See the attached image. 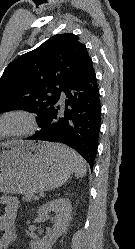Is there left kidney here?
<instances>
[{"mask_svg": "<svg viewBox=\"0 0 135 249\" xmlns=\"http://www.w3.org/2000/svg\"><path fill=\"white\" fill-rule=\"evenodd\" d=\"M55 212L52 229L41 240L31 241V249H52L56 240L66 233L71 219L72 206L67 198H58L47 202L38 210V216L50 219L49 214Z\"/></svg>", "mask_w": 135, "mask_h": 249, "instance_id": "obj_1", "label": "left kidney"}]
</instances>
